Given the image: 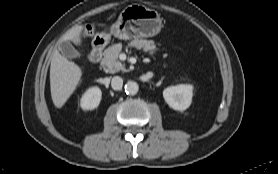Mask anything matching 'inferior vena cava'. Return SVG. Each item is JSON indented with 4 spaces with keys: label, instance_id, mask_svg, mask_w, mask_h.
Wrapping results in <instances>:
<instances>
[{
    "label": "inferior vena cava",
    "instance_id": "602c4592",
    "mask_svg": "<svg viewBox=\"0 0 278 174\" xmlns=\"http://www.w3.org/2000/svg\"><path fill=\"white\" fill-rule=\"evenodd\" d=\"M111 86L114 90H121L123 86V79L119 76H114L111 81Z\"/></svg>",
    "mask_w": 278,
    "mask_h": 174
}]
</instances>
